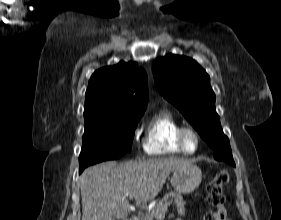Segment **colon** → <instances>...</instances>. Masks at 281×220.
Returning <instances> with one entry per match:
<instances>
[{
  "label": "colon",
  "mask_w": 281,
  "mask_h": 220,
  "mask_svg": "<svg viewBox=\"0 0 281 220\" xmlns=\"http://www.w3.org/2000/svg\"><path fill=\"white\" fill-rule=\"evenodd\" d=\"M229 182V174L226 170L219 171L207 185V200L212 207L204 220H227L225 208L224 186Z\"/></svg>",
  "instance_id": "1"
}]
</instances>
